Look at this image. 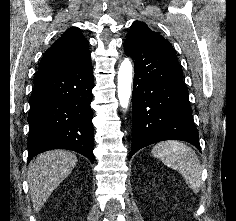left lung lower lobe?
<instances>
[{
	"mask_svg": "<svg viewBox=\"0 0 236 221\" xmlns=\"http://www.w3.org/2000/svg\"><path fill=\"white\" fill-rule=\"evenodd\" d=\"M124 50L135 61L129 159L163 140L186 141L201 151L176 54L138 34L128 35Z\"/></svg>",
	"mask_w": 236,
	"mask_h": 221,
	"instance_id": "left-lung-lower-lobe-1",
	"label": "left lung lower lobe"
}]
</instances>
